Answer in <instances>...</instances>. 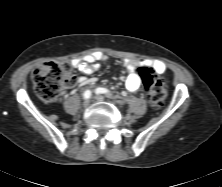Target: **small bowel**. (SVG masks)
<instances>
[{"mask_svg":"<svg viewBox=\"0 0 222 187\" xmlns=\"http://www.w3.org/2000/svg\"><path fill=\"white\" fill-rule=\"evenodd\" d=\"M105 59V54L94 53L86 56L84 59L73 60L72 65L81 73L89 75L99 68V64L97 62ZM124 66L128 72V77L126 78L125 85L127 90L130 92H135L140 87L141 79L138 73V69L140 67H147L157 74H162L166 70L165 64L158 60L126 59L124 61ZM77 82L80 85H85L88 83V80L85 76H80L78 77Z\"/></svg>","mask_w":222,"mask_h":187,"instance_id":"obj_1","label":"small bowel"}]
</instances>
